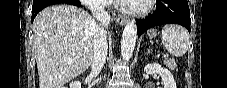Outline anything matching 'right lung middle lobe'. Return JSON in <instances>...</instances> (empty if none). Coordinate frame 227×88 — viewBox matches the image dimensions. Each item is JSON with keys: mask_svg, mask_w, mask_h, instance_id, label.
<instances>
[{"mask_svg": "<svg viewBox=\"0 0 227 88\" xmlns=\"http://www.w3.org/2000/svg\"><path fill=\"white\" fill-rule=\"evenodd\" d=\"M67 3L73 4V5H81V3L79 2V0H68Z\"/></svg>", "mask_w": 227, "mask_h": 88, "instance_id": "dd1d6c3e", "label": "right lung middle lobe"}]
</instances>
